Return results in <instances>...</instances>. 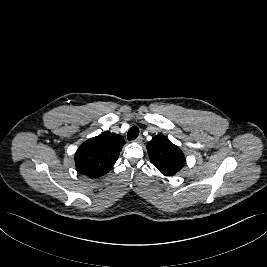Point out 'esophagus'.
Returning a JSON list of instances; mask_svg holds the SVG:
<instances>
[{"instance_id":"esophagus-1","label":"esophagus","mask_w":267,"mask_h":267,"mask_svg":"<svg viewBox=\"0 0 267 267\" xmlns=\"http://www.w3.org/2000/svg\"><path fill=\"white\" fill-rule=\"evenodd\" d=\"M143 141V137L142 136H138L136 139H135V142L137 143H142Z\"/></svg>"}]
</instances>
